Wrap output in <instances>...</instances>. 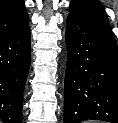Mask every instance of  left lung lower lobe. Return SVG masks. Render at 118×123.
<instances>
[{"mask_svg":"<svg viewBox=\"0 0 118 123\" xmlns=\"http://www.w3.org/2000/svg\"><path fill=\"white\" fill-rule=\"evenodd\" d=\"M64 123H118V46L109 21L69 14Z\"/></svg>","mask_w":118,"mask_h":123,"instance_id":"1","label":"left lung lower lobe"}]
</instances>
